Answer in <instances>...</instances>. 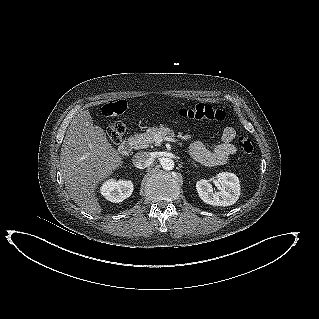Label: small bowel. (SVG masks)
<instances>
[{
    "label": "small bowel",
    "instance_id": "small-bowel-1",
    "mask_svg": "<svg viewBox=\"0 0 319 319\" xmlns=\"http://www.w3.org/2000/svg\"><path fill=\"white\" fill-rule=\"evenodd\" d=\"M236 130L226 127L222 133V140L211 149L206 148L201 142L196 141L190 146L192 157L204 166H219L225 164L237 152L234 144Z\"/></svg>",
    "mask_w": 319,
    "mask_h": 319
}]
</instances>
